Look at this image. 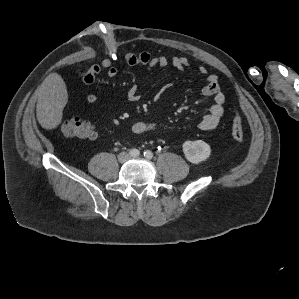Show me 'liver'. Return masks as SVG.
Listing matches in <instances>:
<instances>
[{
	"label": "liver",
	"mask_w": 299,
	"mask_h": 299,
	"mask_svg": "<svg viewBox=\"0 0 299 299\" xmlns=\"http://www.w3.org/2000/svg\"><path fill=\"white\" fill-rule=\"evenodd\" d=\"M68 102V92L63 78L57 73L49 74L39 87L36 116L47 130L56 128L62 119V111Z\"/></svg>",
	"instance_id": "liver-1"
}]
</instances>
